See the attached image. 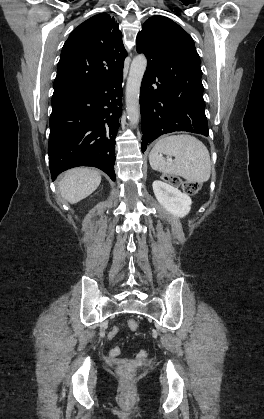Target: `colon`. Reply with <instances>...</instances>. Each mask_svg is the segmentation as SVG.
Segmentation results:
<instances>
[{
	"label": "colon",
	"mask_w": 264,
	"mask_h": 419,
	"mask_svg": "<svg viewBox=\"0 0 264 419\" xmlns=\"http://www.w3.org/2000/svg\"><path fill=\"white\" fill-rule=\"evenodd\" d=\"M164 180L167 181L170 184L173 185H181L182 189L184 192L188 193V194H195L199 191L200 189V185L197 182H192V181H181L178 177L176 176H172V175H165L164 176ZM127 325L129 327L130 330L135 331L138 329V322L134 319H130L127 322ZM147 356V352L145 350H139L137 352V357L138 358H145ZM118 372L120 375H122L123 377H130L133 369L131 366L127 365V364H123L121 366H119L118 368Z\"/></svg>",
	"instance_id": "1"
}]
</instances>
